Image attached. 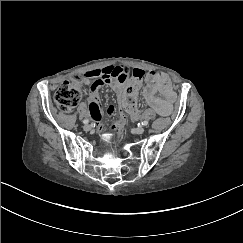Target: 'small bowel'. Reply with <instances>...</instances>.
Returning <instances> with one entry per match:
<instances>
[{
  "mask_svg": "<svg viewBox=\"0 0 243 243\" xmlns=\"http://www.w3.org/2000/svg\"><path fill=\"white\" fill-rule=\"evenodd\" d=\"M137 71L143 73V78L147 82L144 97L149 106L161 116L170 115L176 94L166 74L158 71ZM129 74L130 70L127 66H106L84 73L83 83L91 84L88 98L89 112L95 121H100L104 115L114 114L112 105L108 106L105 111L101 108L98 89L103 85H109L114 90H119L123 80L127 79Z\"/></svg>",
  "mask_w": 243,
  "mask_h": 243,
  "instance_id": "obj_1",
  "label": "small bowel"
}]
</instances>
